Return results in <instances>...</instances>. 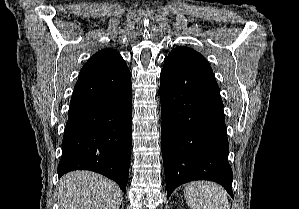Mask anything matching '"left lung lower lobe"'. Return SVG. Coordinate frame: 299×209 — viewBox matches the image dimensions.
I'll return each instance as SVG.
<instances>
[{
  "label": "left lung lower lobe",
  "instance_id": "obj_1",
  "mask_svg": "<svg viewBox=\"0 0 299 209\" xmlns=\"http://www.w3.org/2000/svg\"><path fill=\"white\" fill-rule=\"evenodd\" d=\"M160 77L167 197L181 184L210 180L233 198L223 102L210 65L165 59Z\"/></svg>",
  "mask_w": 299,
  "mask_h": 209
}]
</instances>
